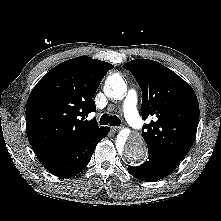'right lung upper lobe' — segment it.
<instances>
[{
    "label": "right lung upper lobe",
    "instance_id": "1",
    "mask_svg": "<svg viewBox=\"0 0 221 221\" xmlns=\"http://www.w3.org/2000/svg\"><path fill=\"white\" fill-rule=\"evenodd\" d=\"M114 66L90 57H77L51 69L31 91L26 130L39 160L60 153L96 134L93 97L104 75Z\"/></svg>",
    "mask_w": 221,
    "mask_h": 221
}]
</instances>
